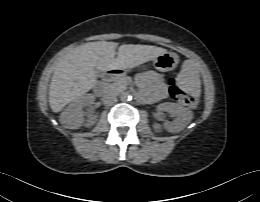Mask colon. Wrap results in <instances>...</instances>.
Masks as SVG:
<instances>
[{"label":"colon","instance_id":"5ec220e1","mask_svg":"<svg viewBox=\"0 0 260 202\" xmlns=\"http://www.w3.org/2000/svg\"><path fill=\"white\" fill-rule=\"evenodd\" d=\"M170 88L169 93L172 98L177 100L179 103L189 106L196 107L199 103V97L192 95L181 89L175 79H170L169 81Z\"/></svg>","mask_w":260,"mask_h":202}]
</instances>
